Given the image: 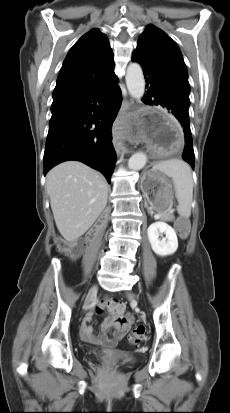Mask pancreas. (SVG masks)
<instances>
[{
    "label": "pancreas",
    "mask_w": 230,
    "mask_h": 413,
    "mask_svg": "<svg viewBox=\"0 0 230 413\" xmlns=\"http://www.w3.org/2000/svg\"><path fill=\"white\" fill-rule=\"evenodd\" d=\"M162 219H163V220H166V221H173V220H174V216L171 215V214H164V215L162 216Z\"/></svg>",
    "instance_id": "1"
}]
</instances>
